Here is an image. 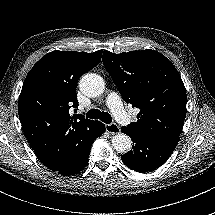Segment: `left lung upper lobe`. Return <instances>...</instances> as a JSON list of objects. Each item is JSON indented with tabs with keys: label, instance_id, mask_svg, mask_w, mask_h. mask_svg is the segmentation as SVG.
Wrapping results in <instances>:
<instances>
[{
	"label": "left lung upper lobe",
	"instance_id": "obj_1",
	"mask_svg": "<svg viewBox=\"0 0 215 215\" xmlns=\"http://www.w3.org/2000/svg\"><path fill=\"white\" fill-rule=\"evenodd\" d=\"M103 64L126 103L140 109L126 129L179 137L186 117V90L175 66L155 50L103 52Z\"/></svg>",
	"mask_w": 215,
	"mask_h": 215
}]
</instances>
